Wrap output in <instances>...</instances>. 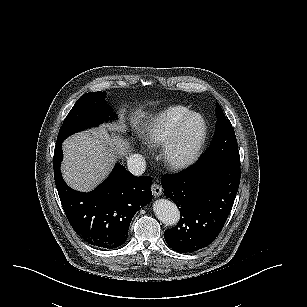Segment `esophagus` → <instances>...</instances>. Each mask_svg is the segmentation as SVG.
I'll use <instances>...</instances> for the list:
<instances>
[{
  "instance_id": "34e87169",
  "label": "esophagus",
  "mask_w": 307,
  "mask_h": 307,
  "mask_svg": "<svg viewBox=\"0 0 307 307\" xmlns=\"http://www.w3.org/2000/svg\"><path fill=\"white\" fill-rule=\"evenodd\" d=\"M151 191L155 197L160 196L163 193L161 186L156 183L151 185Z\"/></svg>"
}]
</instances>
